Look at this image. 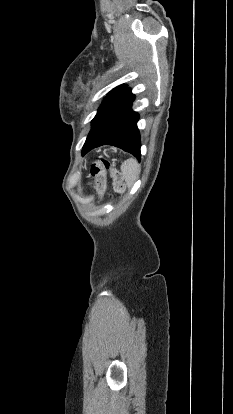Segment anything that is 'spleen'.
Segmentation results:
<instances>
[{
  "label": "spleen",
  "mask_w": 233,
  "mask_h": 414,
  "mask_svg": "<svg viewBox=\"0 0 233 414\" xmlns=\"http://www.w3.org/2000/svg\"><path fill=\"white\" fill-rule=\"evenodd\" d=\"M121 171L124 175L127 186L130 188L139 176L140 166L136 160L128 159L121 165Z\"/></svg>",
  "instance_id": "1"
}]
</instances>
